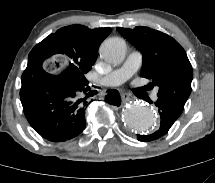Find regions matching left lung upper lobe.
Masks as SVG:
<instances>
[{
    "instance_id": "obj_1",
    "label": "left lung upper lobe",
    "mask_w": 215,
    "mask_h": 183,
    "mask_svg": "<svg viewBox=\"0 0 215 183\" xmlns=\"http://www.w3.org/2000/svg\"><path fill=\"white\" fill-rule=\"evenodd\" d=\"M117 30L142 53L140 75L159 88L158 98L168 101L182 113L193 79L185 50L172 37L148 27Z\"/></svg>"
}]
</instances>
